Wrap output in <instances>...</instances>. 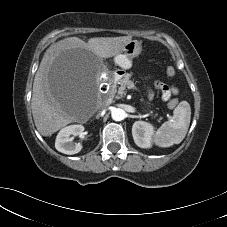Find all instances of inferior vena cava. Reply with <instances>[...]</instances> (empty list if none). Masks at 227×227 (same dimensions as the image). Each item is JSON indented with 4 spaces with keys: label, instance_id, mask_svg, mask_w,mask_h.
Instances as JSON below:
<instances>
[{
    "label": "inferior vena cava",
    "instance_id": "602c4592",
    "mask_svg": "<svg viewBox=\"0 0 227 227\" xmlns=\"http://www.w3.org/2000/svg\"><path fill=\"white\" fill-rule=\"evenodd\" d=\"M106 106H107V104L105 103V104H101L100 106H99V112H101L102 110H104L105 108H106Z\"/></svg>",
    "mask_w": 227,
    "mask_h": 227
}]
</instances>
